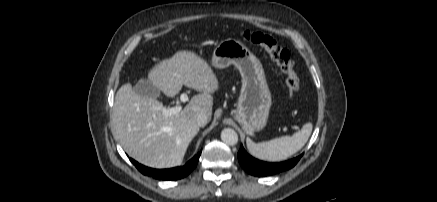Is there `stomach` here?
Segmentation results:
<instances>
[{"mask_svg": "<svg viewBox=\"0 0 437 202\" xmlns=\"http://www.w3.org/2000/svg\"><path fill=\"white\" fill-rule=\"evenodd\" d=\"M233 64L242 77L240 96L232 114L242 129L252 135L265 128L272 105L271 93L260 60L240 41L226 39L214 49L212 65Z\"/></svg>", "mask_w": 437, "mask_h": 202, "instance_id": "stomach-1", "label": "stomach"}]
</instances>
